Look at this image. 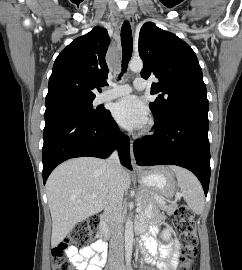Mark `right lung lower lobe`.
Masks as SVG:
<instances>
[{
    "label": "right lung lower lobe",
    "instance_id": "obj_1",
    "mask_svg": "<svg viewBox=\"0 0 242 270\" xmlns=\"http://www.w3.org/2000/svg\"><path fill=\"white\" fill-rule=\"evenodd\" d=\"M43 139L44 184L63 161L81 156L107 158L116 148L122 165L131 169L129 138L119 132L109 111L100 118L80 110L46 116Z\"/></svg>",
    "mask_w": 242,
    "mask_h": 270
}]
</instances>
